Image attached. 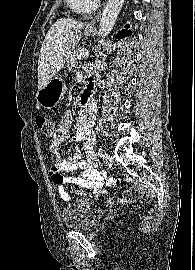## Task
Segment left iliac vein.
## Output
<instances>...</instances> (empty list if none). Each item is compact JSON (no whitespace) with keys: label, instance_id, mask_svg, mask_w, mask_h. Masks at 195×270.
I'll use <instances>...</instances> for the list:
<instances>
[{"label":"left iliac vein","instance_id":"left-iliac-vein-1","mask_svg":"<svg viewBox=\"0 0 195 270\" xmlns=\"http://www.w3.org/2000/svg\"><path fill=\"white\" fill-rule=\"evenodd\" d=\"M103 162L107 166H110L111 165V163H112V157L110 156V154H108L106 152L103 154Z\"/></svg>","mask_w":195,"mask_h":270}]
</instances>
